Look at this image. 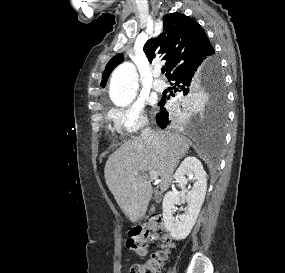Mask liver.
I'll use <instances>...</instances> for the list:
<instances>
[{"label": "liver", "mask_w": 285, "mask_h": 273, "mask_svg": "<svg viewBox=\"0 0 285 273\" xmlns=\"http://www.w3.org/2000/svg\"><path fill=\"white\" fill-rule=\"evenodd\" d=\"M157 142L154 143V138L134 137L111 154L105 164L106 184L132 222L146 212L152 197V186L145 172H157L160 189L166 191L175 167L190 146L187 138L170 131L158 132Z\"/></svg>", "instance_id": "liver-1"}]
</instances>
